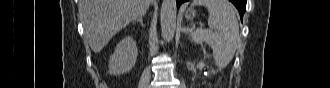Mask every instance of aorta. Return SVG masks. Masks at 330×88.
I'll return each mask as SVG.
<instances>
[{
  "label": "aorta",
  "mask_w": 330,
  "mask_h": 88,
  "mask_svg": "<svg viewBox=\"0 0 330 88\" xmlns=\"http://www.w3.org/2000/svg\"><path fill=\"white\" fill-rule=\"evenodd\" d=\"M176 0H163L161 6L160 20L163 37L167 41H171L176 30Z\"/></svg>",
  "instance_id": "1"
}]
</instances>
